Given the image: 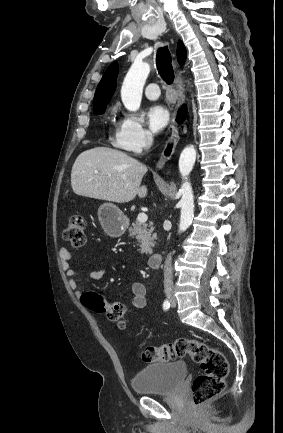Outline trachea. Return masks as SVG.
Segmentation results:
<instances>
[{
    "instance_id": "1",
    "label": "trachea",
    "mask_w": 283,
    "mask_h": 433,
    "mask_svg": "<svg viewBox=\"0 0 283 433\" xmlns=\"http://www.w3.org/2000/svg\"><path fill=\"white\" fill-rule=\"evenodd\" d=\"M156 65L158 72L164 82L170 85L174 80V70L172 67L171 53L167 46L158 48L156 55Z\"/></svg>"
}]
</instances>
